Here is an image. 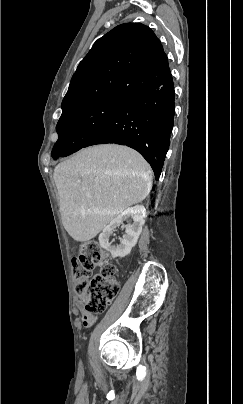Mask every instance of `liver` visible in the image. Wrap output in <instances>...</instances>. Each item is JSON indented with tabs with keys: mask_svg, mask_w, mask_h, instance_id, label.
Segmentation results:
<instances>
[{
	"mask_svg": "<svg viewBox=\"0 0 243 404\" xmlns=\"http://www.w3.org/2000/svg\"><path fill=\"white\" fill-rule=\"evenodd\" d=\"M152 170L127 146L84 148L58 164L54 182L62 224L76 242H89L129 206L140 204L152 188Z\"/></svg>",
	"mask_w": 243,
	"mask_h": 404,
	"instance_id": "1",
	"label": "liver"
}]
</instances>
